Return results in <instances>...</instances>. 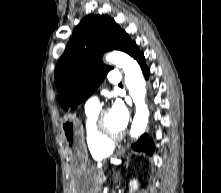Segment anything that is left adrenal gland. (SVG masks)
<instances>
[{
    "label": "left adrenal gland",
    "mask_w": 221,
    "mask_h": 193,
    "mask_svg": "<svg viewBox=\"0 0 221 193\" xmlns=\"http://www.w3.org/2000/svg\"><path fill=\"white\" fill-rule=\"evenodd\" d=\"M118 179H119V173L116 174V181H118Z\"/></svg>",
    "instance_id": "obj_1"
}]
</instances>
